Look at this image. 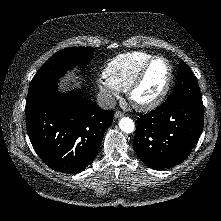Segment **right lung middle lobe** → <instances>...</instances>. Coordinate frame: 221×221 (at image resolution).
Wrapping results in <instances>:
<instances>
[{
    "instance_id": "1",
    "label": "right lung middle lobe",
    "mask_w": 221,
    "mask_h": 221,
    "mask_svg": "<svg viewBox=\"0 0 221 221\" xmlns=\"http://www.w3.org/2000/svg\"><path fill=\"white\" fill-rule=\"evenodd\" d=\"M94 51L93 47H72L53 54L32 79L27 101L52 83L57 82L68 70L74 67H86L93 57Z\"/></svg>"
}]
</instances>
